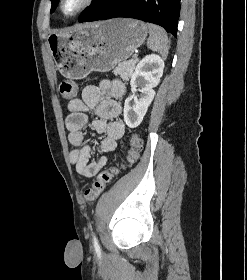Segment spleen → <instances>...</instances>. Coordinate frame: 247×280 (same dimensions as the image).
Wrapping results in <instances>:
<instances>
[{
  "label": "spleen",
  "mask_w": 247,
  "mask_h": 280,
  "mask_svg": "<svg viewBox=\"0 0 247 280\" xmlns=\"http://www.w3.org/2000/svg\"><path fill=\"white\" fill-rule=\"evenodd\" d=\"M146 27L149 29L147 47L152 51L159 52L163 57H166L169 51V40L167 34L157 25L147 23Z\"/></svg>",
  "instance_id": "3e777b00"
}]
</instances>
